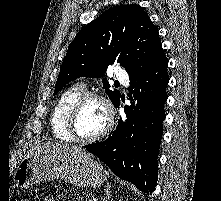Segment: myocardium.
I'll return each instance as SVG.
<instances>
[{
    "label": "myocardium",
    "instance_id": "myocardium-1",
    "mask_svg": "<svg viewBox=\"0 0 221 201\" xmlns=\"http://www.w3.org/2000/svg\"><path fill=\"white\" fill-rule=\"evenodd\" d=\"M91 100H97L100 101L106 110V117L107 122L104 129L97 135L93 137H81L76 130V123L78 116L80 114V111L84 107V105L91 101ZM114 126V108L111 103V101L103 94L97 93V92H86L84 93L72 106L68 119H67V131L69 135L72 137V139L79 143H94L96 141H99L103 139L105 136L109 134V132L112 130Z\"/></svg>",
    "mask_w": 221,
    "mask_h": 201
}]
</instances>
